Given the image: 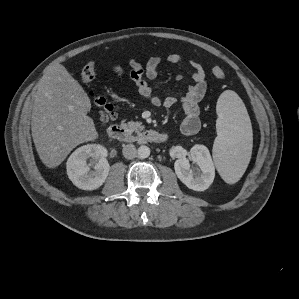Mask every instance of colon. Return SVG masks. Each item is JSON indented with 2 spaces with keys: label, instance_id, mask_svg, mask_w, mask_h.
<instances>
[{
  "label": "colon",
  "instance_id": "colon-1",
  "mask_svg": "<svg viewBox=\"0 0 299 299\" xmlns=\"http://www.w3.org/2000/svg\"><path fill=\"white\" fill-rule=\"evenodd\" d=\"M212 74L217 79H223L225 77L224 70L215 66L212 69ZM81 80L85 83L91 82L96 76V66L93 62L87 63L81 70ZM93 102L99 111L100 120L103 124H107L109 121L114 120L116 112L114 107L103 97L93 96Z\"/></svg>",
  "mask_w": 299,
  "mask_h": 299
}]
</instances>
